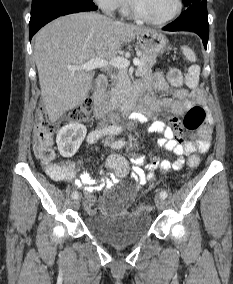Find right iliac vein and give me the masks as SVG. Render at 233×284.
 <instances>
[{
    "instance_id": "right-iliac-vein-1",
    "label": "right iliac vein",
    "mask_w": 233,
    "mask_h": 284,
    "mask_svg": "<svg viewBox=\"0 0 233 284\" xmlns=\"http://www.w3.org/2000/svg\"><path fill=\"white\" fill-rule=\"evenodd\" d=\"M73 206H74L75 209H79V207H80V198L79 197L74 199Z\"/></svg>"
}]
</instances>
